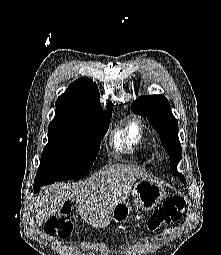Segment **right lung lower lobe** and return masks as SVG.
Wrapping results in <instances>:
<instances>
[{"mask_svg":"<svg viewBox=\"0 0 221 255\" xmlns=\"http://www.w3.org/2000/svg\"><path fill=\"white\" fill-rule=\"evenodd\" d=\"M44 184H42V183H34V193H36L39 189H40V187H42Z\"/></svg>","mask_w":221,"mask_h":255,"instance_id":"1","label":"right lung lower lobe"}]
</instances>
